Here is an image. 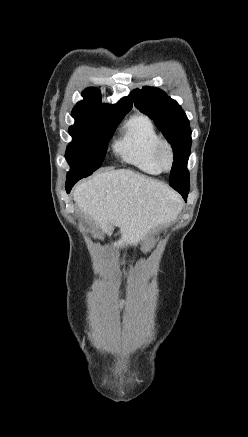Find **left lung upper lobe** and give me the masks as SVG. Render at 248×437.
Returning <instances> with one entry per match:
<instances>
[{"instance_id":"1","label":"left lung upper lobe","mask_w":248,"mask_h":437,"mask_svg":"<svg viewBox=\"0 0 248 437\" xmlns=\"http://www.w3.org/2000/svg\"><path fill=\"white\" fill-rule=\"evenodd\" d=\"M131 96L135 106L157 124L173 148L170 186L180 194H188L187 162L191 148V129L186 114L175 100L158 88L145 86L141 90H133Z\"/></svg>"}]
</instances>
